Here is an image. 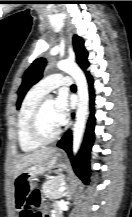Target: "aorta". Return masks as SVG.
I'll return each mask as SVG.
<instances>
[{
    "instance_id": "762f6f07",
    "label": "aorta",
    "mask_w": 132,
    "mask_h": 217,
    "mask_svg": "<svg viewBox=\"0 0 132 217\" xmlns=\"http://www.w3.org/2000/svg\"><path fill=\"white\" fill-rule=\"evenodd\" d=\"M57 68L70 74L77 85L79 101L73 128L72 145L73 154L76 155L80 147L88 113V85L83 72L76 63L67 60L59 61L57 63Z\"/></svg>"
}]
</instances>
